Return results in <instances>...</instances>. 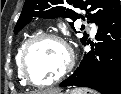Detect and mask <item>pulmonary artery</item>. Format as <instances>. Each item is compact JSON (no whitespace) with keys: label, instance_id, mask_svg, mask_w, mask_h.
Masks as SVG:
<instances>
[{"label":"pulmonary artery","instance_id":"obj_1","mask_svg":"<svg viewBox=\"0 0 121 94\" xmlns=\"http://www.w3.org/2000/svg\"><path fill=\"white\" fill-rule=\"evenodd\" d=\"M97 32V26L95 23L92 24V34L95 35Z\"/></svg>","mask_w":121,"mask_h":94}]
</instances>
